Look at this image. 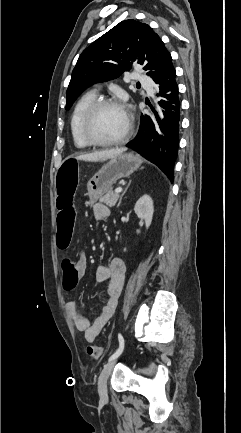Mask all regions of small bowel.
<instances>
[{
  "instance_id": "c3829d8e",
  "label": "small bowel",
  "mask_w": 241,
  "mask_h": 433,
  "mask_svg": "<svg viewBox=\"0 0 241 433\" xmlns=\"http://www.w3.org/2000/svg\"><path fill=\"white\" fill-rule=\"evenodd\" d=\"M93 216L97 220H103L109 216V208L102 203H95L93 205ZM86 267V255L81 253L77 261V270L80 275L85 273ZM125 271V263L118 257L112 258L108 265H100L97 267L95 272L96 280L98 282L108 280L109 283L106 292V299L101 312L92 322L80 313L75 301H69L66 303L68 315L70 316L75 328L84 334L87 342H93L106 323L113 316L123 287Z\"/></svg>"
}]
</instances>
